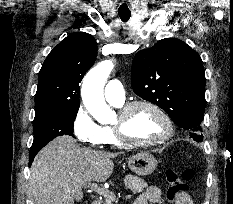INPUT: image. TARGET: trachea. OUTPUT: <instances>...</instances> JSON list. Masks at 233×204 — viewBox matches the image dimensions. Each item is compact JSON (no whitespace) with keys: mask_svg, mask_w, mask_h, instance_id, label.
<instances>
[{"mask_svg":"<svg viewBox=\"0 0 233 204\" xmlns=\"http://www.w3.org/2000/svg\"><path fill=\"white\" fill-rule=\"evenodd\" d=\"M118 14L123 22H127L131 16L130 12H119Z\"/></svg>","mask_w":233,"mask_h":204,"instance_id":"3493384b","label":"trachea"}]
</instances>
